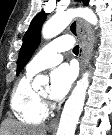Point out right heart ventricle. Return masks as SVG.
<instances>
[{
    "instance_id": "e07e8e85",
    "label": "right heart ventricle",
    "mask_w": 112,
    "mask_h": 135,
    "mask_svg": "<svg viewBox=\"0 0 112 135\" xmlns=\"http://www.w3.org/2000/svg\"><path fill=\"white\" fill-rule=\"evenodd\" d=\"M34 73L26 74L13 89L10 107L14 116L21 122L35 125L45 121L48 111L38 93L32 87Z\"/></svg>"
}]
</instances>
